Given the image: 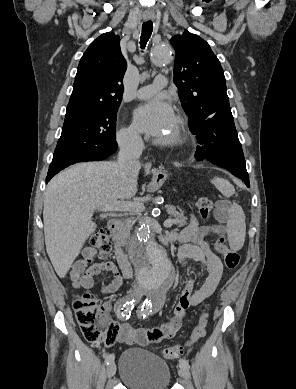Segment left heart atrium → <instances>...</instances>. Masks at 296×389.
<instances>
[{"instance_id": "1", "label": "left heart atrium", "mask_w": 296, "mask_h": 389, "mask_svg": "<svg viewBox=\"0 0 296 389\" xmlns=\"http://www.w3.org/2000/svg\"><path fill=\"white\" fill-rule=\"evenodd\" d=\"M172 106L163 98H156L139 105L133 111L135 128L152 136H162L174 123Z\"/></svg>"}]
</instances>
